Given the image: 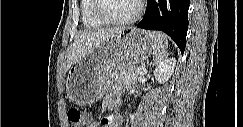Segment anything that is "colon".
<instances>
[{
  "mask_svg": "<svg viewBox=\"0 0 243 127\" xmlns=\"http://www.w3.org/2000/svg\"><path fill=\"white\" fill-rule=\"evenodd\" d=\"M67 117L71 127H83L85 125V117L77 108H70L67 112Z\"/></svg>",
  "mask_w": 243,
  "mask_h": 127,
  "instance_id": "5ec220e1",
  "label": "colon"
}]
</instances>
